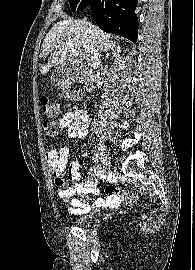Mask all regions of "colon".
Returning <instances> with one entry per match:
<instances>
[{"instance_id": "obj_1", "label": "colon", "mask_w": 195, "mask_h": 270, "mask_svg": "<svg viewBox=\"0 0 195 270\" xmlns=\"http://www.w3.org/2000/svg\"><path fill=\"white\" fill-rule=\"evenodd\" d=\"M63 96L73 100H79L85 90V84L80 78H67L62 82ZM42 112L47 120L44 122V130L47 135L55 136L58 132V122L56 117L58 115L57 104L44 96L41 99ZM126 201H135V196H125Z\"/></svg>"}]
</instances>
